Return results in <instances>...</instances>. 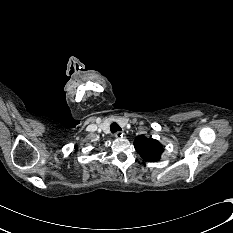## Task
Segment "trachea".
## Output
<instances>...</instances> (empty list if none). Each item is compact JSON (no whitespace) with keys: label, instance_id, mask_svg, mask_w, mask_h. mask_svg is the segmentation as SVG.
Returning <instances> with one entry per match:
<instances>
[{"label":"trachea","instance_id":"obj_1","mask_svg":"<svg viewBox=\"0 0 233 233\" xmlns=\"http://www.w3.org/2000/svg\"><path fill=\"white\" fill-rule=\"evenodd\" d=\"M110 130L112 133H115L117 131H120L121 127L117 123L114 122L110 125Z\"/></svg>","mask_w":233,"mask_h":233}]
</instances>
